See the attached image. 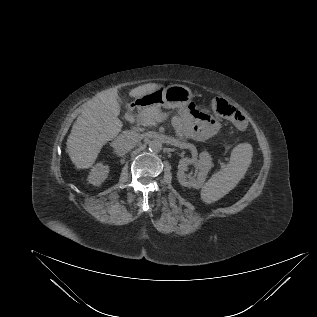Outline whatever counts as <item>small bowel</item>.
<instances>
[{"label": "small bowel", "instance_id": "1", "mask_svg": "<svg viewBox=\"0 0 317 317\" xmlns=\"http://www.w3.org/2000/svg\"><path fill=\"white\" fill-rule=\"evenodd\" d=\"M192 116L194 115L182 113L173 118V125L181 138L202 141L219 131V123L210 115L201 113L196 119ZM243 129L245 128L240 130Z\"/></svg>", "mask_w": 317, "mask_h": 317}]
</instances>
